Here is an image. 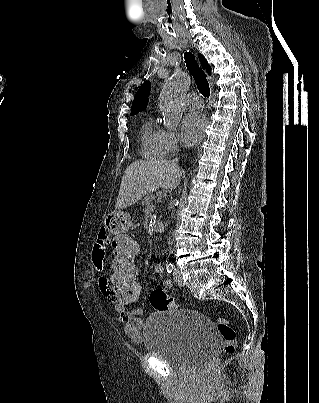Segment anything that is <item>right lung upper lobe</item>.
I'll use <instances>...</instances> for the list:
<instances>
[{
	"label": "right lung upper lobe",
	"instance_id": "1",
	"mask_svg": "<svg viewBox=\"0 0 319 403\" xmlns=\"http://www.w3.org/2000/svg\"><path fill=\"white\" fill-rule=\"evenodd\" d=\"M199 59L201 61V66L206 69V71L211 74V67L207 63L206 59L204 56L199 54ZM150 89H151V83L149 81H146L141 85V87L138 89L135 98L132 103L131 107V115L137 114L138 112L144 110L148 104V96L150 94Z\"/></svg>",
	"mask_w": 319,
	"mask_h": 403
}]
</instances>
